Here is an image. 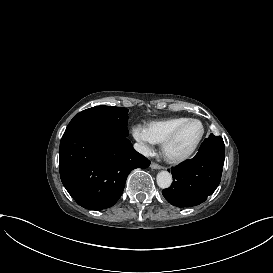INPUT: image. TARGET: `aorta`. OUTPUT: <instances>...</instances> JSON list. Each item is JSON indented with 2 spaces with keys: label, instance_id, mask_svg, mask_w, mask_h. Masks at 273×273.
Segmentation results:
<instances>
[{
  "label": "aorta",
  "instance_id": "aorta-1",
  "mask_svg": "<svg viewBox=\"0 0 273 273\" xmlns=\"http://www.w3.org/2000/svg\"><path fill=\"white\" fill-rule=\"evenodd\" d=\"M157 185L162 188H169L172 184V175L168 171H161L156 177Z\"/></svg>",
  "mask_w": 273,
  "mask_h": 273
}]
</instances>
